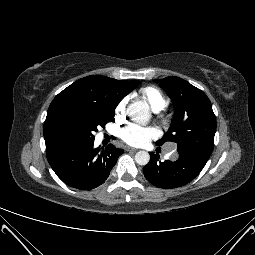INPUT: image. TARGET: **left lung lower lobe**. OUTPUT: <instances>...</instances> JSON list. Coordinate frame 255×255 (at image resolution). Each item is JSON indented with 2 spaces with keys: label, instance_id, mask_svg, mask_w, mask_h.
Instances as JSON below:
<instances>
[{
  "label": "left lung lower lobe",
  "instance_id": "0a47b994",
  "mask_svg": "<svg viewBox=\"0 0 255 255\" xmlns=\"http://www.w3.org/2000/svg\"><path fill=\"white\" fill-rule=\"evenodd\" d=\"M150 152V161L144 167L146 179L160 188H177L192 181L203 169L208 159L191 154H179L176 161L161 162Z\"/></svg>",
  "mask_w": 255,
  "mask_h": 255
}]
</instances>
